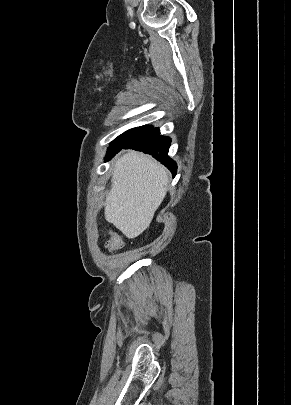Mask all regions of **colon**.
Here are the masks:
<instances>
[{
	"label": "colon",
	"mask_w": 291,
	"mask_h": 405,
	"mask_svg": "<svg viewBox=\"0 0 291 405\" xmlns=\"http://www.w3.org/2000/svg\"><path fill=\"white\" fill-rule=\"evenodd\" d=\"M109 251H117L123 247V240L120 235L113 233L106 243Z\"/></svg>",
	"instance_id": "5ec220e1"
}]
</instances>
